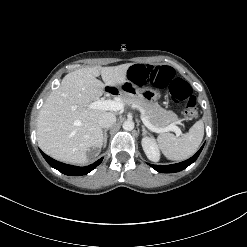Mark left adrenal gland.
<instances>
[{
	"instance_id": "left-adrenal-gland-1",
	"label": "left adrenal gland",
	"mask_w": 247,
	"mask_h": 247,
	"mask_svg": "<svg viewBox=\"0 0 247 247\" xmlns=\"http://www.w3.org/2000/svg\"><path fill=\"white\" fill-rule=\"evenodd\" d=\"M142 132H143V135H145L146 133H149V132L147 131V129L145 128L144 125H142Z\"/></svg>"
}]
</instances>
